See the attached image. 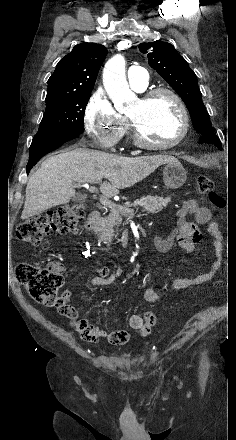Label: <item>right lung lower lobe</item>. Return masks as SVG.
<instances>
[{
  "label": "right lung lower lobe",
  "instance_id": "obj_1",
  "mask_svg": "<svg viewBox=\"0 0 236 440\" xmlns=\"http://www.w3.org/2000/svg\"><path fill=\"white\" fill-rule=\"evenodd\" d=\"M79 136V134L68 133L61 135H46V136H34L32 140V144L30 146L29 151V161L26 166V172L29 174V171L32 167L47 153L56 150L65 142L75 139Z\"/></svg>",
  "mask_w": 236,
  "mask_h": 440
}]
</instances>
